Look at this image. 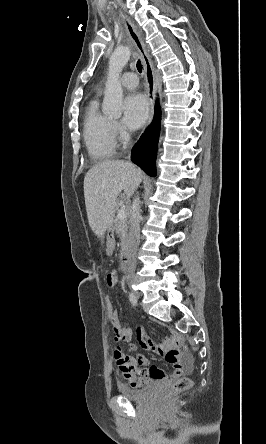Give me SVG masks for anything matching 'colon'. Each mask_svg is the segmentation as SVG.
Wrapping results in <instances>:
<instances>
[{"label":"colon","instance_id":"1","mask_svg":"<svg viewBox=\"0 0 266 444\" xmlns=\"http://www.w3.org/2000/svg\"><path fill=\"white\" fill-rule=\"evenodd\" d=\"M105 311L109 319H112L119 314L110 297H107L105 300ZM191 385L192 381L189 378L182 377L177 379L162 396V402L165 403L172 395L188 389Z\"/></svg>","mask_w":266,"mask_h":444}]
</instances>
